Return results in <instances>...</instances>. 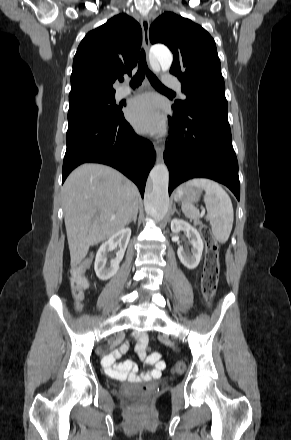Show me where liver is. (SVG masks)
Returning a JSON list of instances; mask_svg holds the SVG:
<instances>
[{"label":"liver","mask_w":291,"mask_h":440,"mask_svg":"<svg viewBox=\"0 0 291 440\" xmlns=\"http://www.w3.org/2000/svg\"><path fill=\"white\" fill-rule=\"evenodd\" d=\"M136 185L115 169L96 163L77 167L63 185V209L71 266L89 247L122 230L138 213Z\"/></svg>","instance_id":"liver-1"}]
</instances>
